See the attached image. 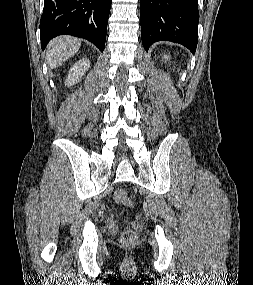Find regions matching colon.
<instances>
[{"label": "colon", "instance_id": "1", "mask_svg": "<svg viewBox=\"0 0 253 285\" xmlns=\"http://www.w3.org/2000/svg\"><path fill=\"white\" fill-rule=\"evenodd\" d=\"M115 201L120 205H131V199L124 189H118L115 192ZM137 239V234L134 230L126 229L122 232L120 241L122 245H132Z\"/></svg>", "mask_w": 253, "mask_h": 285}]
</instances>
